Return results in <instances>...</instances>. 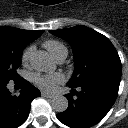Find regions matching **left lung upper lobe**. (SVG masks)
I'll return each instance as SVG.
<instances>
[{
	"instance_id": "left-lung-upper-lobe-1",
	"label": "left lung upper lobe",
	"mask_w": 128,
	"mask_h": 128,
	"mask_svg": "<svg viewBox=\"0 0 128 128\" xmlns=\"http://www.w3.org/2000/svg\"><path fill=\"white\" fill-rule=\"evenodd\" d=\"M73 47L75 70L67 84L80 85L96 74L121 76V61L111 41L99 32L83 25L50 30Z\"/></svg>"
}]
</instances>
